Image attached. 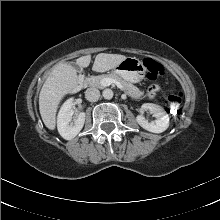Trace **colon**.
Returning <instances> with one entry per match:
<instances>
[{
	"label": "colon",
	"instance_id": "obj_1",
	"mask_svg": "<svg viewBox=\"0 0 220 220\" xmlns=\"http://www.w3.org/2000/svg\"><path fill=\"white\" fill-rule=\"evenodd\" d=\"M144 66L147 70V76L151 80H155L164 74V67L157 61L146 58L144 60ZM182 101V93L179 91H173L168 95L167 103L169 111L171 113H177Z\"/></svg>",
	"mask_w": 220,
	"mask_h": 220
}]
</instances>
